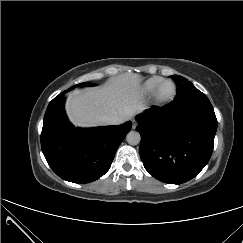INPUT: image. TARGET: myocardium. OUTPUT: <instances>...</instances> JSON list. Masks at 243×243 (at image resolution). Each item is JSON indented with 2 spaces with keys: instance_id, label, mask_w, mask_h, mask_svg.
<instances>
[{
  "instance_id": "myocardium-1",
  "label": "myocardium",
  "mask_w": 243,
  "mask_h": 243,
  "mask_svg": "<svg viewBox=\"0 0 243 243\" xmlns=\"http://www.w3.org/2000/svg\"><path fill=\"white\" fill-rule=\"evenodd\" d=\"M167 84L172 85L173 91H172L171 95L163 96L161 92H162L163 87ZM176 94H177V88H176L175 83L172 80H164L157 87L156 91L154 92V99L158 104L164 105V104L171 102L175 98Z\"/></svg>"
}]
</instances>
